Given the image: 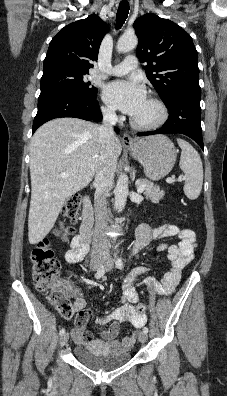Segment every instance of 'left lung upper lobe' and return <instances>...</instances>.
<instances>
[{"mask_svg": "<svg viewBox=\"0 0 227 396\" xmlns=\"http://www.w3.org/2000/svg\"><path fill=\"white\" fill-rule=\"evenodd\" d=\"M137 56L163 102L183 90L200 91L198 54L190 35L168 19L149 13L134 22Z\"/></svg>", "mask_w": 227, "mask_h": 396, "instance_id": "obj_1", "label": "left lung upper lobe"}]
</instances>
